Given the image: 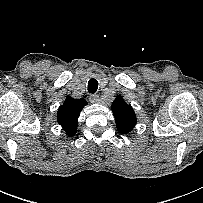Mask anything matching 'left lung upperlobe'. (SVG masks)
<instances>
[{
  "instance_id": "obj_1",
  "label": "left lung upper lobe",
  "mask_w": 203,
  "mask_h": 203,
  "mask_svg": "<svg viewBox=\"0 0 203 203\" xmlns=\"http://www.w3.org/2000/svg\"><path fill=\"white\" fill-rule=\"evenodd\" d=\"M111 110L115 117L118 131L123 134L131 132L137 122L133 108L121 96H117L112 103Z\"/></svg>"
}]
</instances>
